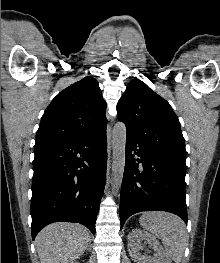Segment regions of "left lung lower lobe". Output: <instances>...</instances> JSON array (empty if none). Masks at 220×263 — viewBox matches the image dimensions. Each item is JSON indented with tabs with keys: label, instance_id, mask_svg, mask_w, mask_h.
Masks as SVG:
<instances>
[{
	"label": "left lung lower lobe",
	"instance_id": "1",
	"mask_svg": "<svg viewBox=\"0 0 220 263\" xmlns=\"http://www.w3.org/2000/svg\"><path fill=\"white\" fill-rule=\"evenodd\" d=\"M185 174V162L126 136L121 229L128 217L142 211L171 212L187 224Z\"/></svg>",
	"mask_w": 220,
	"mask_h": 263
}]
</instances>
